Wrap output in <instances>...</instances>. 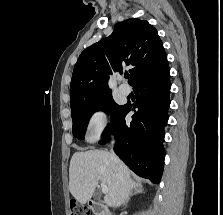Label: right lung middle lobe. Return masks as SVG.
Segmentation results:
<instances>
[{"instance_id": "dd1d6c3e", "label": "right lung middle lobe", "mask_w": 223, "mask_h": 215, "mask_svg": "<svg viewBox=\"0 0 223 215\" xmlns=\"http://www.w3.org/2000/svg\"><path fill=\"white\" fill-rule=\"evenodd\" d=\"M124 109L125 105H117L114 102L112 95L106 96L91 103L82 104L71 108L73 120V136L80 140L84 138L89 118L94 112L98 110L109 112L110 114V124L105 128L102 136L107 135L117 125Z\"/></svg>"}]
</instances>
